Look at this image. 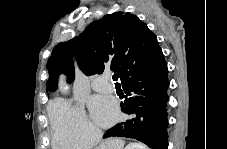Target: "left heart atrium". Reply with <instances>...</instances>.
<instances>
[{
  "instance_id": "obj_1",
  "label": "left heart atrium",
  "mask_w": 227,
  "mask_h": 149,
  "mask_svg": "<svg viewBox=\"0 0 227 149\" xmlns=\"http://www.w3.org/2000/svg\"><path fill=\"white\" fill-rule=\"evenodd\" d=\"M89 107L92 117L101 126L112 124L118 117V106L111 97L94 96Z\"/></svg>"
}]
</instances>
